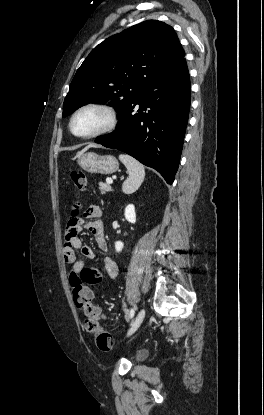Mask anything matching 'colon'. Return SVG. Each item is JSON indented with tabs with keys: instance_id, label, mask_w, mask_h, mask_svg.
<instances>
[{
	"instance_id": "colon-1",
	"label": "colon",
	"mask_w": 264,
	"mask_h": 415,
	"mask_svg": "<svg viewBox=\"0 0 264 415\" xmlns=\"http://www.w3.org/2000/svg\"><path fill=\"white\" fill-rule=\"evenodd\" d=\"M71 185L74 190L82 191L88 186L86 174L80 170H73L70 174ZM78 204H73L70 219L66 225V233L75 235V227L78 221ZM103 279L102 271L97 267L84 269L80 274L70 273L68 277L73 300L77 307L83 310L85 329L94 335L97 347L108 351L112 347V337L100 326L101 313L99 308L92 303V294L87 290L88 285L99 284Z\"/></svg>"
}]
</instances>
